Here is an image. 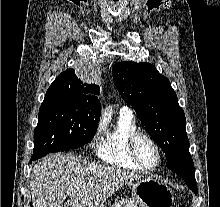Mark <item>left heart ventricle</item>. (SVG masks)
<instances>
[{"instance_id":"obj_1","label":"left heart ventricle","mask_w":220,"mask_h":207,"mask_svg":"<svg viewBox=\"0 0 220 207\" xmlns=\"http://www.w3.org/2000/svg\"><path fill=\"white\" fill-rule=\"evenodd\" d=\"M138 154L141 158V160L146 165H153L156 162L157 155L154 147L151 145V143L146 140L145 138H141L138 141Z\"/></svg>"}]
</instances>
